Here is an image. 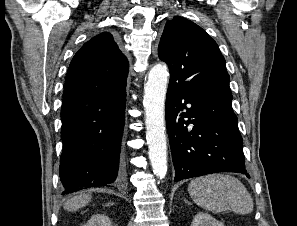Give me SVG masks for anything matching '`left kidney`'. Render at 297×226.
Masks as SVG:
<instances>
[{
	"instance_id": "1",
	"label": "left kidney",
	"mask_w": 297,
	"mask_h": 226,
	"mask_svg": "<svg viewBox=\"0 0 297 226\" xmlns=\"http://www.w3.org/2000/svg\"><path fill=\"white\" fill-rule=\"evenodd\" d=\"M192 226H224V224L214 219L208 213L199 212L195 215Z\"/></svg>"
}]
</instances>
